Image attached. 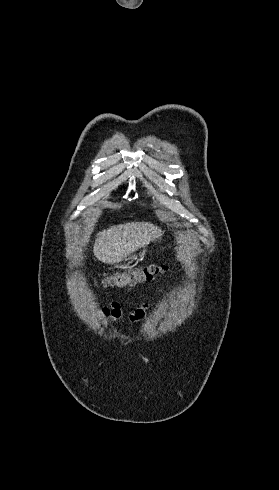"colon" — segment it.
<instances>
[{
  "mask_svg": "<svg viewBox=\"0 0 279 490\" xmlns=\"http://www.w3.org/2000/svg\"><path fill=\"white\" fill-rule=\"evenodd\" d=\"M167 270L165 265L146 264L125 271L109 273L98 282V285L101 288H128L144 283L158 274H164Z\"/></svg>",
  "mask_w": 279,
  "mask_h": 490,
  "instance_id": "5ec220e1",
  "label": "colon"
}]
</instances>
